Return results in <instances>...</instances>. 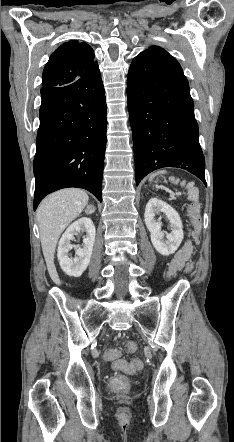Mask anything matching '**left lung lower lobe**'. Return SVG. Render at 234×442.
<instances>
[{"instance_id": "obj_1", "label": "left lung lower lobe", "mask_w": 234, "mask_h": 442, "mask_svg": "<svg viewBox=\"0 0 234 442\" xmlns=\"http://www.w3.org/2000/svg\"><path fill=\"white\" fill-rule=\"evenodd\" d=\"M127 96L136 185L163 167H180L206 184L194 103L176 59L164 53L136 56L128 72Z\"/></svg>"}]
</instances>
